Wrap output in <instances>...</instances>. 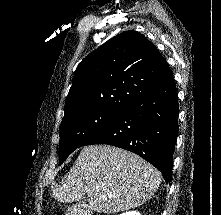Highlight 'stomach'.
<instances>
[{"label": "stomach", "instance_id": "1", "mask_svg": "<svg viewBox=\"0 0 221 215\" xmlns=\"http://www.w3.org/2000/svg\"><path fill=\"white\" fill-rule=\"evenodd\" d=\"M69 211H71V212H72V209H71V208H68V212H69ZM68 214H70V213H68ZM71 215H72V213H71Z\"/></svg>", "mask_w": 221, "mask_h": 215}]
</instances>
